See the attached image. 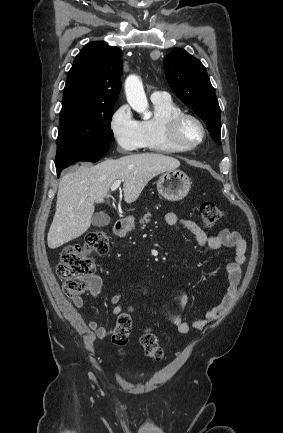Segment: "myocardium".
<instances>
[{
	"instance_id": "f54148a6",
	"label": "myocardium",
	"mask_w": 283,
	"mask_h": 433,
	"mask_svg": "<svg viewBox=\"0 0 283 433\" xmlns=\"http://www.w3.org/2000/svg\"><path fill=\"white\" fill-rule=\"evenodd\" d=\"M188 120L193 121L201 130V137L192 144L182 143L178 137L180 127ZM207 137V128L203 121L196 115L189 112H179L174 114L167 126V139L169 143L179 152H188L199 147Z\"/></svg>"
}]
</instances>
